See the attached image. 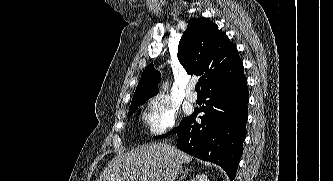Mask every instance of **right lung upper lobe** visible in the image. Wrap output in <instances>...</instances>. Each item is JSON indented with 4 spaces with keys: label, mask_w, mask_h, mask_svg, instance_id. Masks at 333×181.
Instances as JSON below:
<instances>
[{
    "label": "right lung upper lobe",
    "mask_w": 333,
    "mask_h": 181,
    "mask_svg": "<svg viewBox=\"0 0 333 181\" xmlns=\"http://www.w3.org/2000/svg\"><path fill=\"white\" fill-rule=\"evenodd\" d=\"M178 59L188 74L200 76L202 92L243 74V63L236 47L205 18L188 23L178 46ZM160 74L153 63L141 75L130 107L146 102L158 93Z\"/></svg>",
    "instance_id": "1"
}]
</instances>
